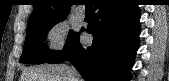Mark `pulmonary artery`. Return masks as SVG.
Returning <instances> with one entry per match:
<instances>
[{"label": "pulmonary artery", "instance_id": "1", "mask_svg": "<svg viewBox=\"0 0 169 81\" xmlns=\"http://www.w3.org/2000/svg\"><path fill=\"white\" fill-rule=\"evenodd\" d=\"M79 17L83 18L85 16V11L83 9L78 11Z\"/></svg>", "mask_w": 169, "mask_h": 81}]
</instances>
